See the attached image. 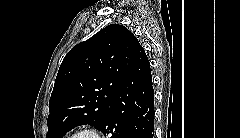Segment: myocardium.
Returning <instances> with one entry per match:
<instances>
[{
    "label": "myocardium",
    "instance_id": "1",
    "mask_svg": "<svg viewBox=\"0 0 240 138\" xmlns=\"http://www.w3.org/2000/svg\"><path fill=\"white\" fill-rule=\"evenodd\" d=\"M85 135H87L88 138H101L99 132L93 128H83V129L79 130L75 134L74 138L84 137Z\"/></svg>",
    "mask_w": 240,
    "mask_h": 138
}]
</instances>
